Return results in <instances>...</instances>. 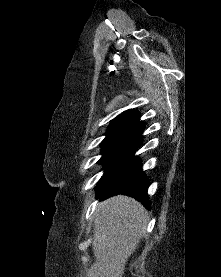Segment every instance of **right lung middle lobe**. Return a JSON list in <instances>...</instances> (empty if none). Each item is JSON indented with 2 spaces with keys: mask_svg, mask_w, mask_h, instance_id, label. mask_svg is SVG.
I'll return each mask as SVG.
<instances>
[{
  "mask_svg": "<svg viewBox=\"0 0 221 277\" xmlns=\"http://www.w3.org/2000/svg\"><path fill=\"white\" fill-rule=\"evenodd\" d=\"M143 125L109 126L106 138L102 141L104 176L122 166L142 143Z\"/></svg>",
  "mask_w": 221,
  "mask_h": 277,
  "instance_id": "obj_1",
  "label": "right lung middle lobe"
}]
</instances>
